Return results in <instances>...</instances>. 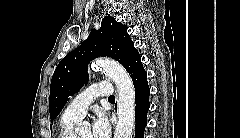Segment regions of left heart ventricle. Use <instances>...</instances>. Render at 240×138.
Here are the masks:
<instances>
[{
	"label": "left heart ventricle",
	"mask_w": 240,
	"mask_h": 138,
	"mask_svg": "<svg viewBox=\"0 0 240 138\" xmlns=\"http://www.w3.org/2000/svg\"><path fill=\"white\" fill-rule=\"evenodd\" d=\"M77 135L78 138H91V132L89 130L79 132Z\"/></svg>",
	"instance_id": "1"
}]
</instances>
